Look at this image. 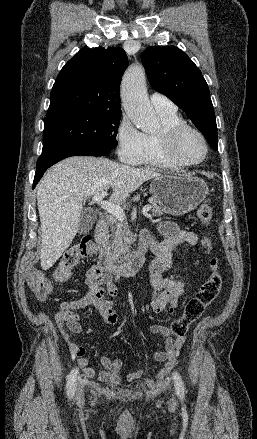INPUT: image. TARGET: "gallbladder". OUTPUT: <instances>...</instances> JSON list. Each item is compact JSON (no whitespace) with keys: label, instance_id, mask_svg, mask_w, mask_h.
<instances>
[{"label":"gallbladder","instance_id":"obj_1","mask_svg":"<svg viewBox=\"0 0 257 439\" xmlns=\"http://www.w3.org/2000/svg\"><path fill=\"white\" fill-rule=\"evenodd\" d=\"M96 220V216L89 209H84L81 213L79 220V231L80 233H86L92 227Z\"/></svg>","mask_w":257,"mask_h":439}]
</instances>
